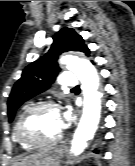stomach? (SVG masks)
<instances>
[{
  "label": "stomach",
  "instance_id": "0dacf381",
  "mask_svg": "<svg viewBox=\"0 0 135 166\" xmlns=\"http://www.w3.org/2000/svg\"><path fill=\"white\" fill-rule=\"evenodd\" d=\"M61 148H46L32 158L28 166H59V160L63 156Z\"/></svg>",
  "mask_w": 135,
  "mask_h": 166
}]
</instances>
